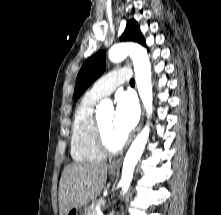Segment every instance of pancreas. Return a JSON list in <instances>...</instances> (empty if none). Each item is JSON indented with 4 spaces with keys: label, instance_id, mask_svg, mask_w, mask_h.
I'll use <instances>...</instances> for the list:
<instances>
[{
    "label": "pancreas",
    "instance_id": "cf45deb5",
    "mask_svg": "<svg viewBox=\"0 0 221 215\" xmlns=\"http://www.w3.org/2000/svg\"><path fill=\"white\" fill-rule=\"evenodd\" d=\"M106 202L104 200L102 201H97L95 203H93L89 208H88V211H87V215H98L97 213V209L96 207L99 206L101 207L102 206V209L104 208Z\"/></svg>",
    "mask_w": 221,
    "mask_h": 215
}]
</instances>
